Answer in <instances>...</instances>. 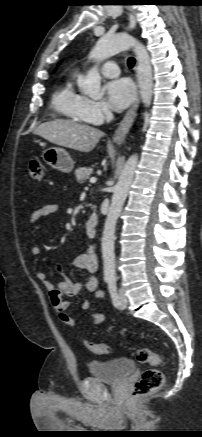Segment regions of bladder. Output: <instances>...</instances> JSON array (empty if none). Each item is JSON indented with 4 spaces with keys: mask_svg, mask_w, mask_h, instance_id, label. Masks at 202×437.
I'll return each mask as SVG.
<instances>
[{
    "mask_svg": "<svg viewBox=\"0 0 202 437\" xmlns=\"http://www.w3.org/2000/svg\"><path fill=\"white\" fill-rule=\"evenodd\" d=\"M88 370L92 378L108 383H118L135 372L136 364L129 358L108 361H91Z\"/></svg>",
    "mask_w": 202,
    "mask_h": 437,
    "instance_id": "31cf9c89",
    "label": "bladder"
}]
</instances>
